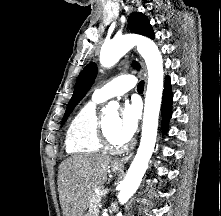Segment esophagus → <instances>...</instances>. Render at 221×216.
I'll use <instances>...</instances> for the list:
<instances>
[{
  "label": "esophagus",
  "mask_w": 221,
  "mask_h": 216,
  "mask_svg": "<svg viewBox=\"0 0 221 216\" xmlns=\"http://www.w3.org/2000/svg\"><path fill=\"white\" fill-rule=\"evenodd\" d=\"M142 70H143V74H144V78H145V82H146L147 81V71H146V67L144 66L143 62H142ZM132 156H133V154H129L125 157L116 159L114 161V164L124 167L131 160Z\"/></svg>",
  "instance_id": "34e87169"
}]
</instances>
